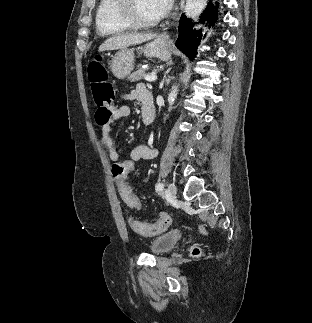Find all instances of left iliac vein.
<instances>
[{"mask_svg":"<svg viewBox=\"0 0 312 323\" xmlns=\"http://www.w3.org/2000/svg\"><path fill=\"white\" fill-rule=\"evenodd\" d=\"M166 192L171 199H174L176 197L177 188L174 184L170 183Z\"/></svg>","mask_w":312,"mask_h":323,"instance_id":"left-iliac-vein-1","label":"left iliac vein"}]
</instances>
